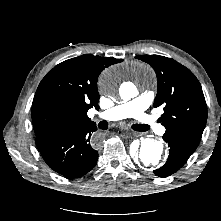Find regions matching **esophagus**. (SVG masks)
Returning a JSON list of instances; mask_svg holds the SVG:
<instances>
[{
	"mask_svg": "<svg viewBox=\"0 0 221 221\" xmlns=\"http://www.w3.org/2000/svg\"><path fill=\"white\" fill-rule=\"evenodd\" d=\"M136 135V133L135 132H132V131H126V136L127 137H132V136H135Z\"/></svg>",
	"mask_w": 221,
	"mask_h": 221,
	"instance_id": "34e87169",
	"label": "esophagus"
}]
</instances>
